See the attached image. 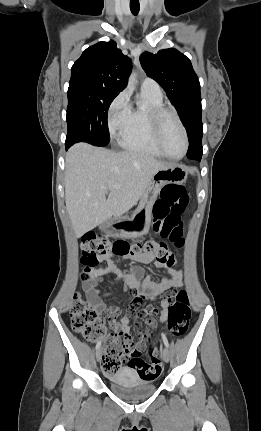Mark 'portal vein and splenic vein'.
Listing matches in <instances>:
<instances>
[{"instance_id": "obj_1", "label": "portal vein and splenic vein", "mask_w": 261, "mask_h": 431, "mask_svg": "<svg viewBox=\"0 0 261 431\" xmlns=\"http://www.w3.org/2000/svg\"><path fill=\"white\" fill-rule=\"evenodd\" d=\"M110 187H117V186H115V185H110Z\"/></svg>"}]
</instances>
